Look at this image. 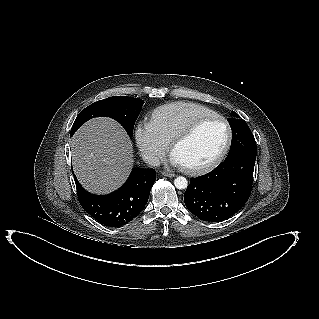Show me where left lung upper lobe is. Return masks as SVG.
<instances>
[{"label": "left lung upper lobe", "instance_id": "1", "mask_svg": "<svg viewBox=\"0 0 319 319\" xmlns=\"http://www.w3.org/2000/svg\"><path fill=\"white\" fill-rule=\"evenodd\" d=\"M233 118L236 120H231ZM231 119H228L232 129L231 148L228 156L244 152L257 154L256 142L248 125L234 111H232Z\"/></svg>", "mask_w": 319, "mask_h": 319}]
</instances>
